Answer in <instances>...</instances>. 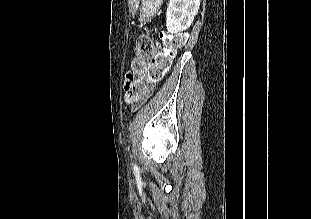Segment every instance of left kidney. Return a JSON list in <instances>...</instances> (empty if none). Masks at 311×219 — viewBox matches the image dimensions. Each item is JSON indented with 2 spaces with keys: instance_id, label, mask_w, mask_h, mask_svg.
<instances>
[{
  "instance_id": "obj_1",
  "label": "left kidney",
  "mask_w": 311,
  "mask_h": 219,
  "mask_svg": "<svg viewBox=\"0 0 311 219\" xmlns=\"http://www.w3.org/2000/svg\"><path fill=\"white\" fill-rule=\"evenodd\" d=\"M201 0H170L166 12V26L171 34L188 29L198 13Z\"/></svg>"
}]
</instances>
